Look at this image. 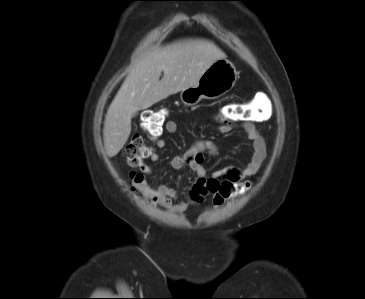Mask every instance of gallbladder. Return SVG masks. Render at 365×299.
Returning a JSON list of instances; mask_svg holds the SVG:
<instances>
[{
  "label": "gallbladder",
  "instance_id": "obj_1",
  "mask_svg": "<svg viewBox=\"0 0 365 299\" xmlns=\"http://www.w3.org/2000/svg\"><path fill=\"white\" fill-rule=\"evenodd\" d=\"M137 114L136 113H133L132 117H135Z\"/></svg>",
  "mask_w": 365,
  "mask_h": 299
}]
</instances>
